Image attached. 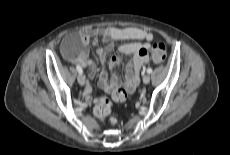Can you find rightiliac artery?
<instances>
[{"label":"right iliac artery","instance_id":"obj_1","mask_svg":"<svg viewBox=\"0 0 230 155\" xmlns=\"http://www.w3.org/2000/svg\"><path fill=\"white\" fill-rule=\"evenodd\" d=\"M76 69H77V71L79 72V74H82V68H81V66H79V65H76Z\"/></svg>","mask_w":230,"mask_h":155}]
</instances>
